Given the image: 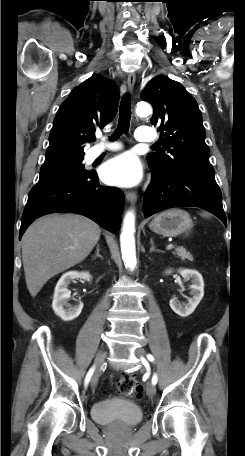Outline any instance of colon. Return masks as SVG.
I'll use <instances>...</instances> for the list:
<instances>
[{
  "mask_svg": "<svg viewBox=\"0 0 245 456\" xmlns=\"http://www.w3.org/2000/svg\"><path fill=\"white\" fill-rule=\"evenodd\" d=\"M117 388L120 393L132 395L138 399L143 395V387L138 384L135 377L130 374H123L117 379Z\"/></svg>",
  "mask_w": 245,
  "mask_h": 456,
  "instance_id": "1",
  "label": "colon"
}]
</instances>
